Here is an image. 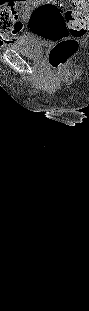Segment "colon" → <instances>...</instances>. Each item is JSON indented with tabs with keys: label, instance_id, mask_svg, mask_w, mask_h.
<instances>
[{
	"label": "colon",
	"instance_id": "colon-1",
	"mask_svg": "<svg viewBox=\"0 0 89 311\" xmlns=\"http://www.w3.org/2000/svg\"><path fill=\"white\" fill-rule=\"evenodd\" d=\"M74 9H65L61 0H47L37 6L29 21L35 35L54 43L49 53L50 64L62 66L79 47L78 39L89 27L86 0H73ZM0 25L4 31H12L18 25V13L13 8L4 9L0 14Z\"/></svg>",
	"mask_w": 89,
	"mask_h": 311
}]
</instances>
